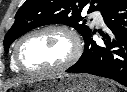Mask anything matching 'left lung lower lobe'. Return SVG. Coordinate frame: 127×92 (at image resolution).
Here are the masks:
<instances>
[{
    "instance_id": "left-lung-lower-lobe-1",
    "label": "left lung lower lobe",
    "mask_w": 127,
    "mask_h": 92,
    "mask_svg": "<svg viewBox=\"0 0 127 92\" xmlns=\"http://www.w3.org/2000/svg\"><path fill=\"white\" fill-rule=\"evenodd\" d=\"M109 28L102 33L104 45L92 40L91 32L84 38L85 48L79 61L68 68L69 73H89L111 78L127 86V0H118L102 12Z\"/></svg>"
}]
</instances>
